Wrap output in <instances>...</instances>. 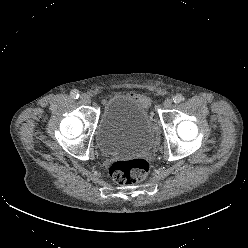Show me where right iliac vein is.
Listing matches in <instances>:
<instances>
[{"label": "right iliac vein", "mask_w": 248, "mask_h": 248, "mask_svg": "<svg viewBox=\"0 0 248 248\" xmlns=\"http://www.w3.org/2000/svg\"><path fill=\"white\" fill-rule=\"evenodd\" d=\"M81 101L85 104H90L91 103V98L88 94L83 93L80 97Z\"/></svg>", "instance_id": "63e3f726"}]
</instances>
